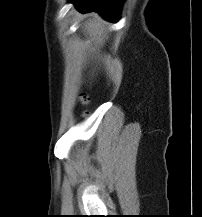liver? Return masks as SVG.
Instances as JSON below:
<instances>
[{"mask_svg":"<svg viewBox=\"0 0 202 217\" xmlns=\"http://www.w3.org/2000/svg\"><path fill=\"white\" fill-rule=\"evenodd\" d=\"M85 30L87 34H89L92 37V40L94 41V45L97 47V45H100L103 43V28L101 24L98 22V20L93 19L89 20L85 23Z\"/></svg>","mask_w":202,"mask_h":217,"instance_id":"obj_1","label":"liver"}]
</instances>
